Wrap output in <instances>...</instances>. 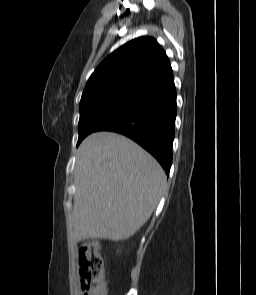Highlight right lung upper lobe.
I'll list each match as a JSON object with an SVG mask.
<instances>
[{
  "instance_id": "obj_1",
  "label": "right lung upper lobe",
  "mask_w": 256,
  "mask_h": 295,
  "mask_svg": "<svg viewBox=\"0 0 256 295\" xmlns=\"http://www.w3.org/2000/svg\"><path fill=\"white\" fill-rule=\"evenodd\" d=\"M170 68L166 53L154 38H136L99 64L85 86L80 106L138 93Z\"/></svg>"
}]
</instances>
